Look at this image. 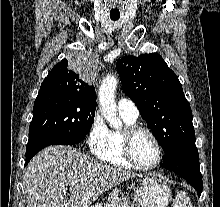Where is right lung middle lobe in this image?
I'll return each instance as SVG.
<instances>
[{"label":"right lung middle lobe","mask_w":220,"mask_h":207,"mask_svg":"<svg viewBox=\"0 0 220 207\" xmlns=\"http://www.w3.org/2000/svg\"><path fill=\"white\" fill-rule=\"evenodd\" d=\"M96 100L79 94L39 91L34 103L27 145L43 147L80 142L94 121Z\"/></svg>","instance_id":"dd1d6c3e"}]
</instances>
